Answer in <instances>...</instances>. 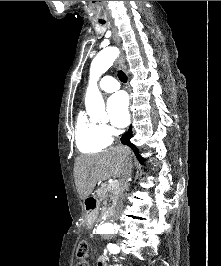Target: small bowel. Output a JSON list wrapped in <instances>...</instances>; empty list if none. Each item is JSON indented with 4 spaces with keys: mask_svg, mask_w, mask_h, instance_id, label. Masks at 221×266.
I'll return each instance as SVG.
<instances>
[{
    "mask_svg": "<svg viewBox=\"0 0 221 266\" xmlns=\"http://www.w3.org/2000/svg\"><path fill=\"white\" fill-rule=\"evenodd\" d=\"M97 266H111L105 256H101L97 261Z\"/></svg>",
    "mask_w": 221,
    "mask_h": 266,
    "instance_id": "small-bowel-1",
    "label": "small bowel"
}]
</instances>
